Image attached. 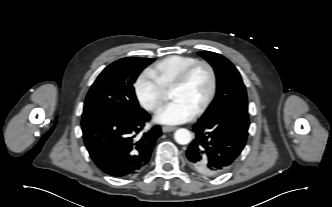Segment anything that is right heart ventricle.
<instances>
[{"label":"right heart ventricle","instance_id":"right-heart-ventricle-1","mask_svg":"<svg viewBox=\"0 0 332 207\" xmlns=\"http://www.w3.org/2000/svg\"><path fill=\"white\" fill-rule=\"evenodd\" d=\"M195 61H197V58L191 56L170 55L161 59L149 68L148 73L164 90H167L177 76Z\"/></svg>","mask_w":332,"mask_h":207}]
</instances>
